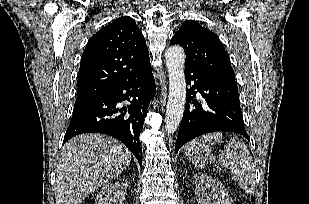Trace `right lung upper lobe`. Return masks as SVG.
Returning <instances> with one entry per match:
<instances>
[{
	"label": "right lung upper lobe",
	"mask_w": 309,
	"mask_h": 204,
	"mask_svg": "<svg viewBox=\"0 0 309 204\" xmlns=\"http://www.w3.org/2000/svg\"><path fill=\"white\" fill-rule=\"evenodd\" d=\"M150 68L146 42L135 20L120 17L90 38L81 59L76 100L123 84Z\"/></svg>",
	"instance_id": "obj_1"
}]
</instances>
